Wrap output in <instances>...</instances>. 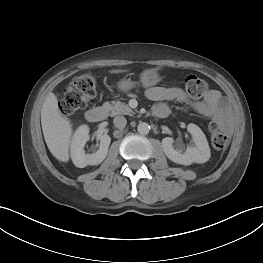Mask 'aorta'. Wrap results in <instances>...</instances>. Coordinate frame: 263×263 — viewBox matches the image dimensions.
Masks as SVG:
<instances>
[{
	"instance_id": "762f6f07",
	"label": "aorta",
	"mask_w": 263,
	"mask_h": 263,
	"mask_svg": "<svg viewBox=\"0 0 263 263\" xmlns=\"http://www.w3.org/2000/svg\"><path fill=\"white\" fill-rule=\"evenodd\" d=\"M137 131L142 135H147L150 131V126L146 122H142L137 126Z\"/></svg>"
}]
</instances>
